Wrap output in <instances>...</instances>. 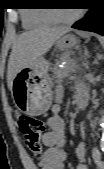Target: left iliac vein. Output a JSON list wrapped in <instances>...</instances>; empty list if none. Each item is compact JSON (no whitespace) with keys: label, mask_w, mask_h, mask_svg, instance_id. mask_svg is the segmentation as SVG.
Masks as SVG:
<instances>
[{"label":"left iliac vein","mask_w":104,"mask_h":169,"mask_svg":"<svg viewBox=\"0 0 104 169\" xmlns=\"http://www.w3.org/2000/svg\"><path fill=\"white\" fill-rule=\"evenodd\" d=\"M98 169H104V164L103 162L100 161V163L97 164Z\"/></svg>","instance_id":"4c4485c4"}]
</instances>
